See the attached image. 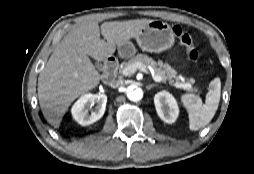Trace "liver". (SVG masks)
<instances>
[{
	"instance_id": "liver-1",
	"label": "liver",
	"mask_w": 254,
	"mask_h": 174,
	"mask_svg": "<svg viewBox=\"0 0 254 174\" xmlns=\"http://www.w3.org/2000/svg\"><path fill=\"white\" fill-rule=\"evenodd\" d=\"M150 19L84 23L73 28L57 45L38 77V99L45 119L55 128L71 103L95 88L101 75L90 57L104 61L119 46L136 38ZM100 33L104 39H100Z\"/></svg>"
}]
</instances>
